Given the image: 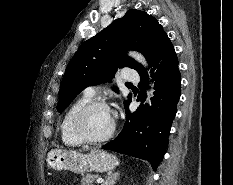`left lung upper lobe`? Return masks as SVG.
<instances>
[{"label": "left lung upper lobe", "instance_id": "obj_1", "mask_svg": "<svg viewBox=\"0 0 233 185\" xmlns=\"http://www.w3.org/2000/svg\"><path fill=\"white\" fill-rule=\"evenodd\" d=\"M167 37L158 21L144 11L129 9L96 36L85 41L69 62L64 74L57 109L63 112L86 87L110 81L117 68L144 69L126 51H140L148 62ZM118 92L117 88H114ZM124 102L125 109L131 95Z\"/></svg>", "mask_w": 233, "mask_h": 185}]
</instances>
